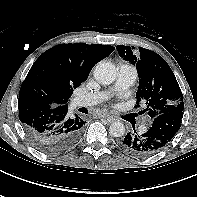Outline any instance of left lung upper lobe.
Masks as SVG:
<instances>
[{"mask_svg": "<svg viewBox=\"0 0 197 197\" xmlns=\"http://www.w3.org/2000/svg\"><path fill=\"white\" fill-rule=\"evenodd\" d=\"M133 49L117 46L120 57L136 65L139 77L136 98L138 102H145L143 112H147L153 120L164 113L183 111L181 89L166 61L151 50L139 48V52H134Z\"/></svg>", "mask_w": 197, "mask_h": 197, "instance_id": "5c2ea615", "label": "left lung upper lobe"}]
</instances>
